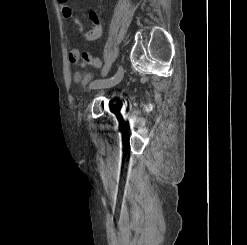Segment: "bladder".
I'll use <instances>...</instances> for the list:
<instances>
[{
  "mask_svg": "<svg viewBox=\"0 0 247 245\" xmlns=\"http://www.w3.org/2000/svg\"><path fill=\"white\" fill-rule=\"evenodd\" d=\"M78 78L81 80L82 84L85 85L89 80L88 74H80Z\"/></svg>",
  "mask_w": 247,
  "mask_h": 245,
  "instance_id": "obj_1",
  "label": "bladder"
}]
</instances>
